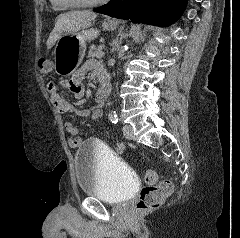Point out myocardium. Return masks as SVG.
<instances>
[{
    "mask_svg": "<svg viewBox=\"0 0 240 238\" xmlns=\"http://www.w3.org/2000/svg\"><path fill=\"white\" fill-rule=\"evenodd\" d=\"M110 0H96L94 2L90 3H79V2H74V1H67V4L72 7H81V8H92V7H97L104 5L108 3Z\"/></svg>",
    "mask_w": 240,
    "mask_h": 238,
    "instance_id": "1",
    "label": "myocardium"
}]
</instances>
